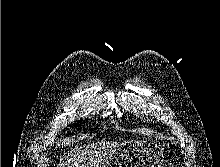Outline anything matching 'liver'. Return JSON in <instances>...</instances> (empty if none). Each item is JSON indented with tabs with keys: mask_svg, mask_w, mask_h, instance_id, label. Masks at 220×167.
<instances>
[{
	"mask_svg": "<svg viewBox=\"0 0 220 167\" xmlns=\"http://www.w3.org/2000/svg\"><path fill=\"white\" fill-rule=\"evenodd\" d=\"M122 144L100 142L77 148L63 156L57 167H108L116 149Z\"/></svg>",
	"mask_w": 220,
	"mask_h": 167,
	"instance_id": "1",
	"label": "liver"
}]
</instances>
